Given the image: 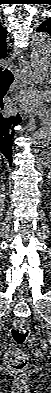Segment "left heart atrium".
<instances>
[{
    "label": "left heart atrium",
    "instance_id": "39dd6f15",
    "mask_svg": "<svg viewBox=\"0 0 51 393\" xmlns=\"http://www.w3.org/2000/svg\"><path fill=\"white\" fill-rule=\"evenodd\" d=\"M23 104L26 107H37L39 105V98L35 94H29L24 97Z\"/></svg>",
    "mask_w": 51,
    "mask_h": 393
}]
</instances>
